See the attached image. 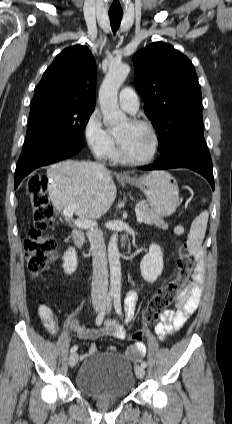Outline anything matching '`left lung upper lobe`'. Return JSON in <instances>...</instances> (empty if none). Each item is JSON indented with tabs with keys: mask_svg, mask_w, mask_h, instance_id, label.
<instances>
[{
	"mask_svg": "<svg viewBox=\"0 0 232 424\" xmlns=\"http://www.w3.org/2000/svg\"><path fill=\"white\" fill-rule=\"evenodd\" d=\"M135 86L160 141V152L180 133L202 126L201 89L191 61L171 45L155 42L133 57Z\"/></svg>",
	"mask_w": 232,
	"mask_h": 424,
	"instance_id": "obj_1",
	"label": "left lung upper lobe"
}]
</instances>
